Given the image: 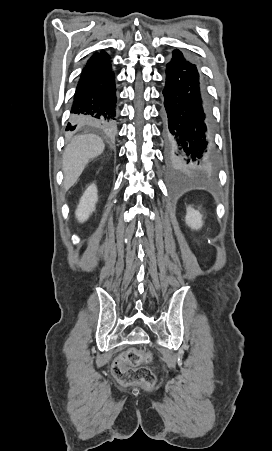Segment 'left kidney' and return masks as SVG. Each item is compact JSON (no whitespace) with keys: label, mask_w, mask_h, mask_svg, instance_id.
Listing matches in <instances>:
<instances>
[{"label":"left kidney","mask_w":272,"mask_h":451,"mask_svg":"<svg viewBox=\"0 0 272 451\" xmlns=\"http://www.w3.org/2000/svg\"><path fill=\"white\" fill-rule=\"evenodd\" d=\"M203 216L198 212V210H194V208H187V214L185 218V222L187 226L192 227V229H199V227L203 226Z\"/></svg>","instance_id":"obj_1"}]
</instances>
